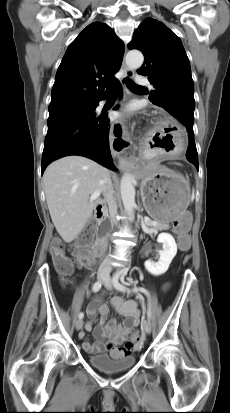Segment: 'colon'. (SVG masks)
I'll return each mask as SVG.
<instances>
[{
    "instance_id": "obj_1",
    "label": "colon",
    "mask_w": 230,
    "mask_h": 413,
    "mask_svg": "<svg viewBox=\"0 0 230 413\" xmlns=\"http://www.w3.org/2000/svg\"><path fill=\"white\" fill-rule=\"evenodd\" d=\"M190 224V217L187 214H183L176 222L175 229L179 232V252H188L192 246L190 237L186 234ZM94 238L93 227L90 226L87 231L79 236L75 242L72 250L76 259L83 263H87L90 260L89 246ZM50 255L55 266L56 271L64 278L71 275L73 271L72 261L65 255L63 244L55 241L50 248ZM167 288L170 286L168 283L165 285ZM141 340V333H136L134 340L126 344V351H132L139 347Z\"/></svg>"
}]
</instances>
